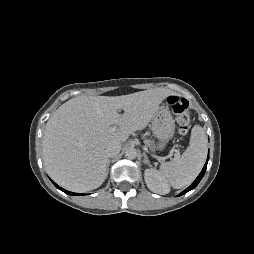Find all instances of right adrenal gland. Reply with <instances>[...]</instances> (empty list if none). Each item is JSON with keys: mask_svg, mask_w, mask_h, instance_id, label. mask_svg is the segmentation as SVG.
Segmentation results:
<instances>
[{"mask_svg": "<svg viewBox=\"0 0 254 254\" xmlns=\"http://www.w3.org/2000/svg\"><path fill=\"white\" fill-rule=\"evenodd\" d=\"M111 160L107 161V171H106V175H108L109 173V166H110Z\"/></svg>", "mask_w": 254, "mask_h": 254, "instance_id": "2a0ac1e0", "label": "right adrenal gland"}]
</instances>
